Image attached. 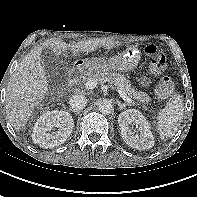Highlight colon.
<instances>
[{
    "label": "colon",
    "mask_w": 197,
    "mask_h": 197,
    "mask_svg": "<svg viewBox=\"0 0 197 197\" xmlns=\"http://www.w3.org/2000/svg\"><path fill=\"white\" fill-rule=\"evenodd\" d=\"M145 54L150 59L151 70L155 73H162L167 66L165 54L154 44L147 45L144 48ZM174 89V84L169 77H162L158 83L156 92L161 98L169 97Z\"/></svg>",
    "instance_id": "5ec220e1"
}]
</instances>
